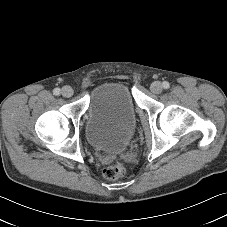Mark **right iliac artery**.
<instances>
[{
    "label": "right iliac artery",
    "mask_w": 227,
    "mask_h": 227,
    "mask_svg": "<svg viewBox=\"0 0 227 227\" xmlns=\"http://www.w3.org/2000/svg\"><path fill=\"white\" fill-rule=\"evenodd\" d=\"M53 93H54V95L58 96L60 94V89L59 88H55L53 90Z\"/></svg>",
    "instance_id": "1"
}]
</instances>
